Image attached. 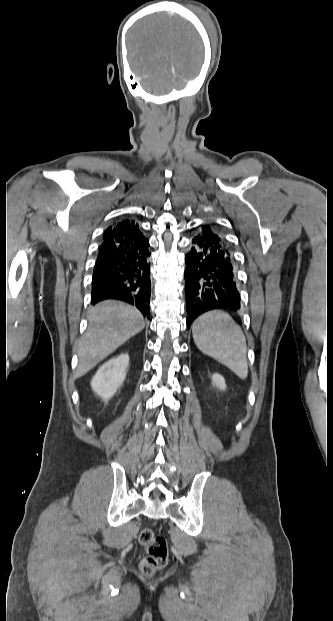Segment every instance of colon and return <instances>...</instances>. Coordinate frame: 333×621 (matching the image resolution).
Returning <instances> with one entry per match:
<instances>
[{"instance_id":"1","label":"colon","mask_w":333,"mask_h":621,"mask_svg":"<svg viewBox=\"0 0 333 621\" xmlns=\"http://www.w3.org/2000/svg\"><path fill=\"white\" fill-rule=\"evenodd\" d=\"M139 542L146 550L139 568L145 576H152L162 569L168 561V545L166 539L154 533L150 528H143L139 533Z\"/></svg>"}]
</instances>
